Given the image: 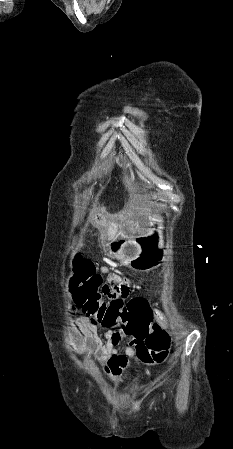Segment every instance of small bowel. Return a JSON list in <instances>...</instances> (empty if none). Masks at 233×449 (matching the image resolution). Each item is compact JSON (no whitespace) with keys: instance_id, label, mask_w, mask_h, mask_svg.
I'll use <instances>...</instances> for the list:
<instances>
[{"instance_id":"small-bowel-1","label":"small bowel","mask_w":233,"mask_h":449,"mask_svg":"<svg viewBox=\"0 0 233 449\" xmlns=\"http://www.w3.org/2000/svg\"><path fill=\"white\" fill-rule=\"evenodd\" d=\"M100 270L107 276L100 288L104 292L102 299L105 302H115V296H121V301H127L129 296L135 294L138 285L132 276L121 274L120 270H108L104 266ZM152 311V319L166 327V316L160 311ZM77 325L84 336L81 341L77 342V350L95 357L103 365L105 375L110 378L119 377L131 366L133 360H137L142 367H150L163 363L166 358L167 353H156L152 349H137L133 339L136 334H121L120 328H105V333L100 334L99 328L93 327L90 315H80L77 318ZM125 338L130 339L129 344L123 342Z\"/></svg>"}]
</instances>
